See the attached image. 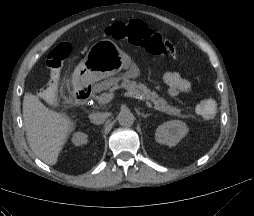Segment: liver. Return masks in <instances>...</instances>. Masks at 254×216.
<instances>
[{"mask_svg":"<svg viewBox=\"0 0 254 216\" xmlns=\"http://www.w3.org/2000/svg\"><path fill=\"white\" fill-rule=\"evenodd\" d=\"M22 111L30 148L43 162L55 165L74 123L65 114L47 108L31 93L24 95Z\"/></svg>","mask_w":254,"mask_h":216,"instance_id":"liver-1","label":"liver"}]
</instances>
